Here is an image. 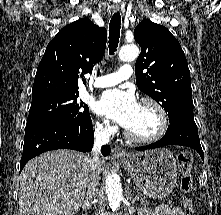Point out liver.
<instances>
[{
  "label": "liver",
  "mask_w": 221,
  "mask_h": 215,
  "mask_svg": "<svg viewBox=\"0 0 221 215\" xmlns=\"http://www.w3.org/2000/svg\"><path fill=\"white\" fill-rule=\"evenodd\" d=\"M90 177L89 158L72 150L49 151L21 173L18 215H75Z\"/></svg>",
  "instance_id": "1"
}]
</instances>
